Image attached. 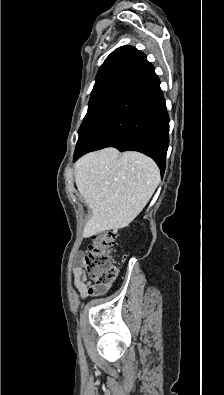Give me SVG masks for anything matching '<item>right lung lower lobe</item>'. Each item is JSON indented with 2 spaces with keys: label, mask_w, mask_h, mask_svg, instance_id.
<instances>
[{
  "label": "right lung lower lobe",
  "mask_w": 224,
  "mask_h": 395,
  "mask_svg": "<svg viewBox=\"0 0 224 395\" xmlns=\"http://www.w3.org/2000/svg\"><path fill=\"white\" fill-rule=\"evenodd\" d=\"M168 129L159 78L145 54L138 51L119 70L80 133L73 161L90 151L115 147L121 152L138 151L151 157L163 176Z\"/></svg>",
  "instance_id": "98d812e1"
}]
</instances>
